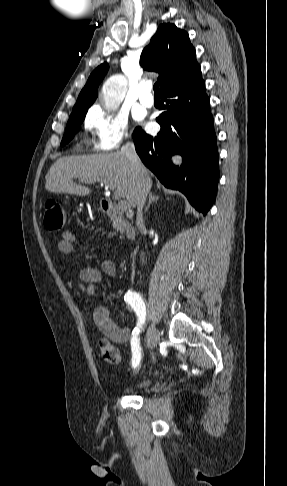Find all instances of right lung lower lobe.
<instances>
[{"mask_svg": "<svg viewBox=\"0 0 287 486\" xmlns=\"http://www.w3.org/2000/svg\"><path fill=\"white\" fill-rule=\"evenodd\" d=\"M161 100L164 112L156 118L160 132L151 136L137 127L135 149L167 188L184 193L196 210L206 215L215 200L219 165L205 82L201 77L164 91ZM174 154L183 157L180 168L170 161Z\"/></svg>", "mask_w": 287, "mask_h": 486, "instance_id": "obj_1", "label": "right lung lower lobe"}]
</instances>
